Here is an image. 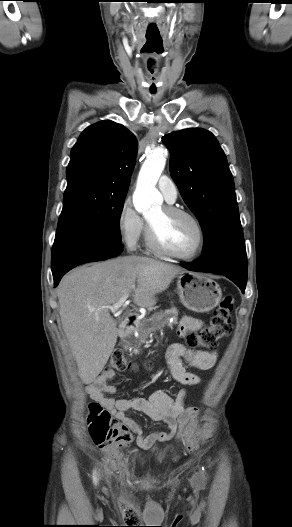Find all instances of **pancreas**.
Instances as JSON below:
<instances>
[{"label":"pancreas","mask_w":292,"mask_h":527,"mask_svg":"<svg viewBox=\"0 0 292 527\" xmlns=\"http://www.w3.org/2000/svg\"><path fill=\"white\" fill-rule=\"evenodd\" d=\"M178 311L176 308L167 309L164 312H159L154 315H152L149 319L142 320L137 328V331L139 333V339L141 342H143L145 339L148 338V336L161 328H163L165 325L172 326L174 324H177L178 321ZM170 319L173 321L170 322Z\"/></svg>","instance_id":"pancreas-1"}]
</instances>
